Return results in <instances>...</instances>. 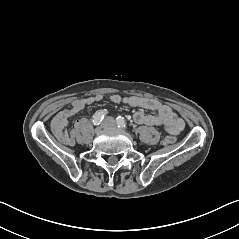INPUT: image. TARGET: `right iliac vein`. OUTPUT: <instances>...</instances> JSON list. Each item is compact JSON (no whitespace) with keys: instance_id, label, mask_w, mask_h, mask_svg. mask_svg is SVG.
<instances>
[{"instance_id":"63e3f726","label":"right iliac vein","mask_w":239,"mask_h":239,"mask_svg":"<svg viewBox=\"0 0 239 239\" xmlns=\"http://www.w3.org/2000/svg\"><path fill=\"white\" fill-rule=\"evenodd\" d=\"M107 127H109V123L107 122V121H104L103 123H102V125H101V128H107ZM97 131H98V129H97Z\"/></svg>"}]
</instances>
